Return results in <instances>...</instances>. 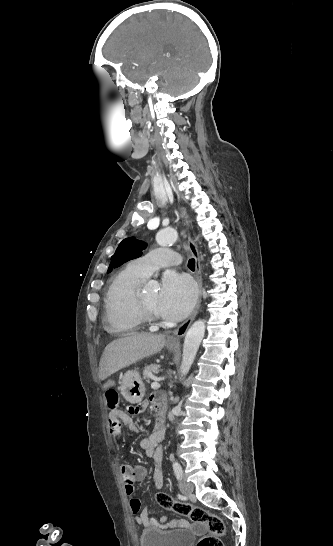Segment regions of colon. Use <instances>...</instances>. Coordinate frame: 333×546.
I'll return each mask as SVG.
<instances>
[{"mask_svg": "<svg viewBox=\"0 0 333 546\" xmlns=\"http://www.w3.org/2000/svg\"><path fill=\"white\" fill-rule=\"evenodd\" d=\"M106 400L110 409H116L119 404L118 392L116 390H108L106 392ZM155 499L161 508L185 515L194 523L205 524L207 526L208 535L200 539L197 546H224L221 538L225 533V525L220 516L209 513L199 506L177 501L167 493H157Z\"/></svg>", "mask_w": 333, "mask_h": 546, "instance_id": "colon-1", "label": "colon"}]
</instances>
